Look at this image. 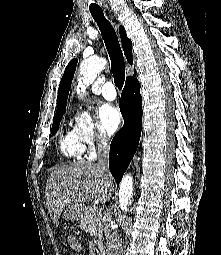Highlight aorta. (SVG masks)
I'll return each mask as SVG.
<instances>
[{
  "instance_id": "1",
  "label": "aorta",
  "mask_w": 221,
  "mask_h": 255,
  "mask_svg": "<svg viewBox=\"0 0 221 255\" xmlns=\"http://www.w3.org/2000/svg\"><path fill=\"white\" fill-rule=\"evenodd\" d=\"M103 68L102 64L90 67L85 73L80 82V87L83 88L88 86L89 83L93 82L99 71ZM134 182L131 175L126 174L121 183L119 190L120 207L122 210L127 211L128 204H131V197L133 194Z\"/></svg>"
}]
</instances>
